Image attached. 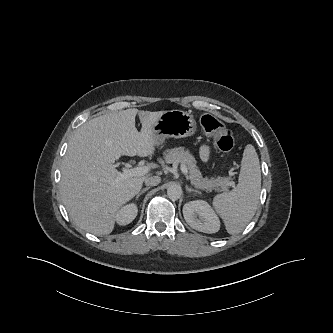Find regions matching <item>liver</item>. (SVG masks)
Masks as SVG:
<instances>
[{
  "mask_svg": "<svg viewBox=\"0 0 333 333\" xmlns=\"http://www.w3.org/2000/svg\"><path fill=\"white\" fill-rule=\"evenodd\" d=\"M164 112L133 108L109 113L86 122L74 133L62 163L60 191L78 227L95 235L113 231L117 212L148 177L119 179L121 172L113 163L122 155H153L156 144L152 126ZM137 114L140 132L135 127Z\"/></svg>",
  "mask_w": 333,
  "mask_h": 333,
  "instance_id": "obj_1",
  "label": "liver"
}]
</instances>
